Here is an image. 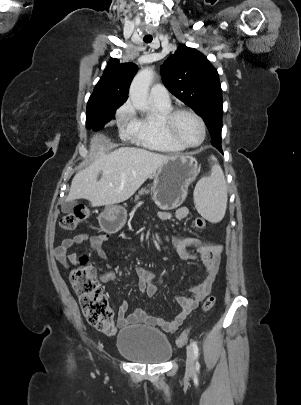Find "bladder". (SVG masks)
<instances>
[{"mask_svg":"<svg viewBox=\"0 0 301 405\" xmlns=\"http://www.w3.org/2000/svg\"><path fill=\"white\" fill-rule=\"evenodd\" d=\"M118 352L134 361L145 364H161L172 356L168 338L159 330L148 326H129L117 335Z\"/></svg>","mask_w":301,"mask_h":405,"instance_id":"obj_1","label":"bladder"}]
</instances>
